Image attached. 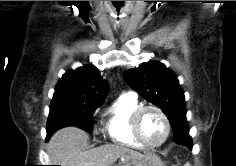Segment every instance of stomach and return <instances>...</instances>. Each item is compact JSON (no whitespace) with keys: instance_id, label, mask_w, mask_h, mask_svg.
Here are the masks:
<instances>
[{"instance_id":"0dacf381","label":"stomach","mask_w":236,"mask_h":166,"mask_svg":"<svg viewBox=\"0 0 236 166\" xmlns=\"http://www.w3.org/2000/svg\"><path fill=\"white\" fill-rule=\"evenodd\" d=\"M122 166H135V165H132L129 161H125L124 165ZM140 166H164V164L157 155L146 154Z\"/></svg>"}]
</instances>
